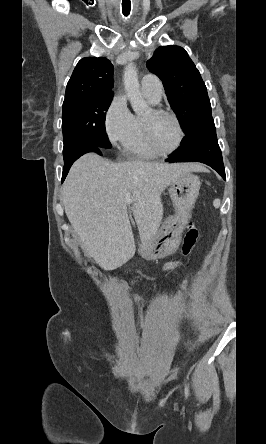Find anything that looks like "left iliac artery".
<instances>
[{"label": "left iliac artery", "instance_id": "left-iliac-artery-1", "mask_svg": "<svg viewBox=\"0 0 266 444\" xmlns=\"http://www.w3.org/2000/svg\"><path fill=\"white\" fill-rule=\"evenodd\" d=\"M185 396L188 397L189 396V389L187 384H185Z\"/></svg>", "mask_w": 266, "mask_h": 444}]
</instances>
